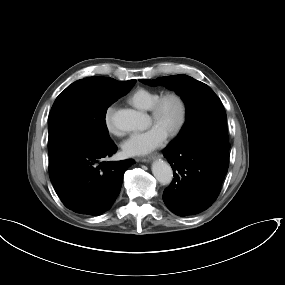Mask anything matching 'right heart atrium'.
<instances>
[{
	"label": "right heart atrium",
	"mask_w": 285,
	"mask_h": 285,
	"mask_svg": "<svg viewBox=\"0 0 285 285\" xmlns=\"http://www.w3.org/2000/svg\"><path fill=\"white\" fill-rule=\"evenodd\" d=\"M113 113H114V107L108 106L105 110V120L108 130L116 135H121L123 132L121 130H118L116 126L113 124Z\"/></svg>",
	"instance_id": "right-heart-atrium-1"
}]
</instances>
